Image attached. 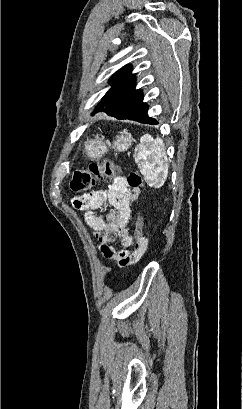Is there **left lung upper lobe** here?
<instances>
[{"label":"left lung upper lobe","mask_w":243,"mask_h":409,"mask_svg":"<svg viewBox=\"0 0 243 409\" xmlns=\"http://www.w3.org/2000/svg\"><path fill=\"white\" fill-rule=\"evenodd\" d=\"M112 85L106 95L93 112H109L122 114L128 108L139 105L143 100L141 90H135V75L131 74V67L124 66L109 80Z\"/></svg>","instance_id":"5c2ea615"}]
</instances>
